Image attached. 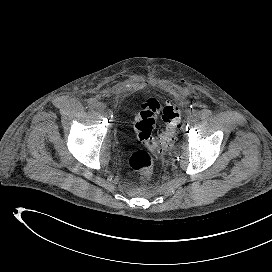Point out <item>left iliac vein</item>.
<instances>
[{
	"instance_id": "4c4485c4",
	"label": "left iliac vein",
	"mask_w": 272,
	"mask_h": 272,
	"mask_svg": "<svg viewBox=\"0 0 272 272\" xmlns=\"http://www.w3.org/2000/svg\"><path fill=\"white\" fill-rule=\"evenodd\" d=\"M196 121H197V117H195V116H190V117L187 119V124H188V125H193Z\"/></svg>"
}]
</instances>
